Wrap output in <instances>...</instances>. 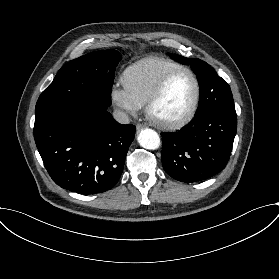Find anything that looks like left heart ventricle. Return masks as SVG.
<instances>
[{
    "instance_id": "b2bd125f",
    "label": "left heart ventricle",
    "mask_w": 279,
    "mask_h": 279,
    "mask_svg": "<svg viewBox=\"0 0 279 279\" xmlns=\"http://www.w3.org/2000/svg\"><path fill=\"white\" fill-rule=\"evenodd\" d=\"M194 90V82L189 74L183 73L177 76L157 102L155 106L156 116L164 120L180 117L190 106Z\"/></svg>"
}]
</instances>
